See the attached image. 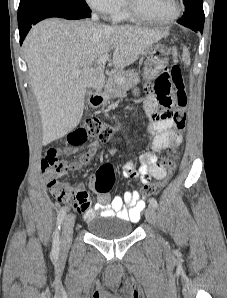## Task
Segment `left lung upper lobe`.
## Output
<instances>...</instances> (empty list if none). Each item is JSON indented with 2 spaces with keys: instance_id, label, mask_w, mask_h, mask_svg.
I'll return each instance as SVG.
<instances>
[{
  "instance_id": "5c2ea615",
  "label": "left lung upper lobe",
  "mask_w": 227,
  "mask_h": 298,
  "mask_svg": "<svg viewBox=\"0 0 227 298\" xmlns=\"http://www.w3.org/2000/svg\"><path fill=\"white\" fill-rule=\"evenodd\" d=\"M185 5V13L178 20V23L189 27L191 25L203 27L204 25V11L203 0H183Z\"/></svg>"
}]
</instances>
